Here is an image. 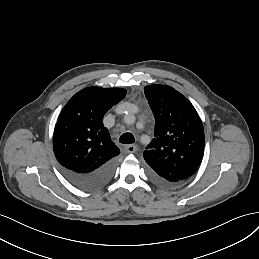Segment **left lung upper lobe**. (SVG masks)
<instances>
[{
	"label": "left lung upper lobe",
	"instance_id": "5c2ea615",
	"mask_svg": "<svg viewBox=\"0 0 259 259\" xmlns=\"http://www.w3.org/2000/svg\"><path fill=\"white\" fill-rule=\"evenodd\" d=\"M144 92L155 117V138L143 154L149 173L163 182L182 183L203 158L202 122L190 101L174 88L154 84Z\"/></svg>",
	"mask_w": 259,
	"mask_h": 259
}]
</instances>
